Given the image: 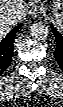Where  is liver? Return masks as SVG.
<instances>
[{
	"mask_svg": "<svg viewBox=\"0 0 63 107\" xmlns=\"http://www.w3.org/2000/svg\"><path fill=\"white\" fill-rule=\"evenodd\" d=\"M27 3L24 0H0V38L6 36L11 28L25 18ZM16 11L20 12V19L14 25L9 22Z\"/></svg>",
	"mask_w": 63,
	"mask_h": 107,
	"instance_id": "1",
	"label": "liver"
}]
</instances>
